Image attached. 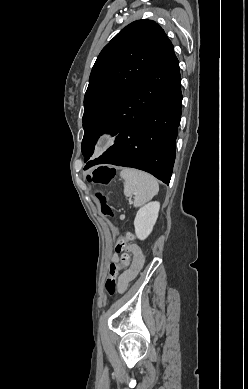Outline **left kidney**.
Segmentation results:
<instances>
[{
  "label": "left kidney",
  "mask_w": 248,
  "mask_h": 389,
  "mask_svg": "<svg viewBox=\"0 0 248 389\" xmlns=\"http://www.w3.org/2000/svg\"><path fill=\"white\" fill-rule=\"evenodd\" d=\"M159 209V202H150L137 212L134 227L136 236L140 240H145L152 232L158 218Z\"/></svg>",
  "instance_id": "1"
}]
</instances>
